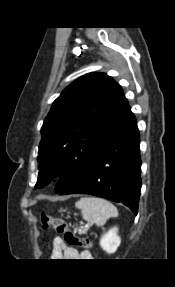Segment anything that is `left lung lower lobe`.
Listing matches in <instances>:
<instances>
[{"label": "left lung lower lobe", "mask_w": 175, "mask_h": 287, "mask_svg": "<svg viewBox=\"0 0 175 287\" xmlns=\"http://www.w3.org/2000/svg\"><path fill=\"white\" fill-rule=\"evenodd\" d=\"M139 130L135 116L94 155L85 172L59 192L90 194L121 202L135 214L141 192Z\"/></svg>", "instance_id": "0a47b994"}]
</instances>
